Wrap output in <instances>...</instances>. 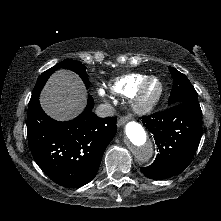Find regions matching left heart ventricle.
Listing matches in <instances>:
<instances>
[{
	"instance_id": "b2bd125f",
	"label": "left heart ventricle",
	"mask_w": 221,
	"mask_h": 221,
	"mask_svg": "<svg viewBox=\"0 0 221 221\" xmlns=\"http://www.w3.org/2000/svg\"><path fill=\"white\" fill-rule=\"evenodd\" d=\"M158 89H159L158 82L156 81L151 82L146 89V96L148 98L153 97L157 93Z\"/></svg>"
}]
</instances>
